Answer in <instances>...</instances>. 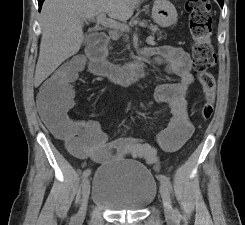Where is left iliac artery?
I'll use <instances>...</instances> for the list:
<instances>
[{
  "mask_svg": "<svg viewBox=\"0 0 245 225\" xmlns=\"http://www.w3.org/2000/svg\"><path fill=\"white\" fill-rule=\"evenodd\" d=\"M158 179L161 181V183H164L167 187L171 188V182L169 177L164 175H159ZM176 213L178 214V211L176 210Z\"/></svg>",
  "mask_w": 245,
  "mask_h": 225,
  "instance_id": "obj_1",
  "label": "left iliac artery"
}]
</instances>
